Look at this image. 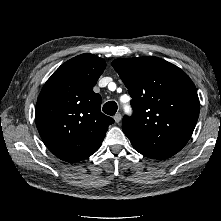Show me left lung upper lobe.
<instances>
[{
    "label": "left lung upper lobe",
    "mask_w": 221,
    "mask_h": 221,
    "mask_svg": "<svg viewBox=\"0 0 221 221\" xmlns=\"http://www.w3.org/2000/svg\"><path fill=\"white\" fill-rule=\"evenodd\" d=\"M112 66L132 97L123 132L142 155L163 160L178 153L197 123L200 103L191 79L157 57L116 59Z\"/></svg>",
    "instance_id": "obj_1"
}]
</instances>
